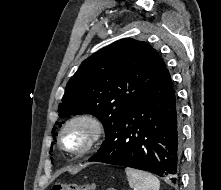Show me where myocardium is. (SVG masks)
<instances>
[{
	"label": "myocardium",
	"instance_id": "myocardium-1",
	"mask_svg": "<svg viewBox=\"0 0 221 190\" xmlns=\"http://www.w3.org/2000/svg\"><path fill=\"white\" fill-rule=\"evenodd\" d=\"M75 124H83L88 129L87 141L83 146L79 148H71L66 145L65 142V134L67 130ZM102 131V122L96 115L88 112L77 113L68 118L62 125L59 134V144L64 150L72 154H86L95 147L102 134Z\"/></svg>",
	"mask_w": 221,
	"mask_h": 190
}]
</instances>
